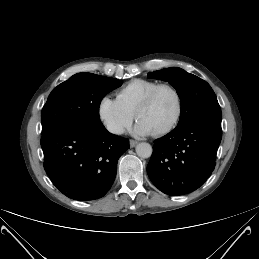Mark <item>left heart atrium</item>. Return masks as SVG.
Here are the masks:
<instances>
[{
  "instance_id": "obj_1",
  "label": "left heart atrium",
  "mask_w": 259,
  "mask_h": 259,
  "mask_svg": "<svg viewBox=\"0 0 259 259\" xmlns=\"http://www.w3.org/2000/svg\"><path fill=\"white\" fill-rule=\"evenodd\" d=\"M135 131L139 135H148L151 133L150 129L143 123L139 122L135 127Z\"/></svg>"
}]
</instances>
